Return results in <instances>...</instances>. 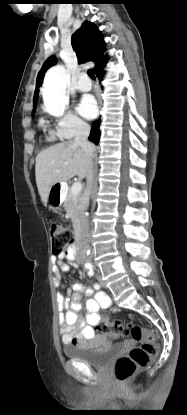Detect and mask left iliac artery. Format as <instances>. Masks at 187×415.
Returning a JSON list of instances; mask_svg holds the SVG:
<instances>
[{"instance_id": "obj_1", "label": "left iliac artery", "mask_w": 187, "mask_h": 415, "mask_svg": "<svg viewBox=\"0 0 187 415\" xmlns=\"http://www.w3.org/2000/svg\"><path fill=\"white\" fill-rule=\"evenodd\" d=\"M88 275L91 277V276H93L94 275V271L92 270V269H90L89 271H88ZM94 288H96V289H99L100 288V286L97 284V283H95L94 284Z\"/></svg>"}]
</instances>
